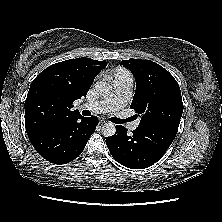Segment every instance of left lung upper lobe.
Returning <instances> with one entry per match:
<instances>
[{
  "mask_svg": "<svg viewBox=\"0 0 222 222\" xmlns=\"http://www.w3.org/2000/svg\"><path fill=\"white\" fill-rule=\"evenodd\" d=\"M121 64L136 79V92L130 107L141 117L138 126L178 130L183 103L180 87L174 77L150 60L129 59L121 61Z\"/></svg>",
  "mask_w": 222,
  "mask_h": 222,
  "instance_id": "5c2ea615",
  "label": "left lung upper lobe"
}]
</instances>
